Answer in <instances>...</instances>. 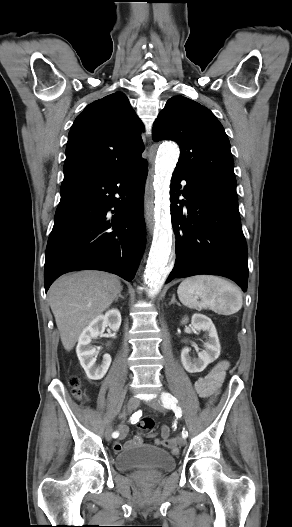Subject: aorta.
<instances>
[{
	"mask_svg": "<svg viewBox=\"0 0 292 527\" xmlns=\"http://www.w3.org/2000/svg\"><path fill=\"white\" fill-rule=\"evenodd\" d=\"M179 158V149L173 143L163 144L157 152L155 162V228L152 246L145 270V280L149 286L148 295L159 293L171 270L168 265L172 247V226L170 218V180Z\"/></svg>",
	"mask_w": 292,
	"mask_h": 527,
	"instance_id": "aorta-1",
	"label": "aorta"
}]
</instances>
